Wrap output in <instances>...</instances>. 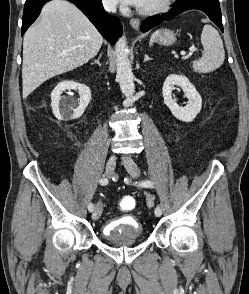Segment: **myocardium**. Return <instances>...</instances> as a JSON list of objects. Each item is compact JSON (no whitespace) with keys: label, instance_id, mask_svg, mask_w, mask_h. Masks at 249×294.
I'll return each instance as SVG.
<instances>
[{"label":"myocardium","instance_id":"f54148a6","mask_svg":"<svg viewBox=\"0 0 249 294\" xmlns=\"http://www.w3.org/2000/svg\"><path fill=\"white\" fill-rule=\"evenodd\" d=\"M173 1L174 0H164L163 2H161L160 4L154 7H150L146 9L138 8V11L145 15H155V14L166 11L172 5Z\"/></svg>","mask_w":249,"mask_h":294}]
</instances>
